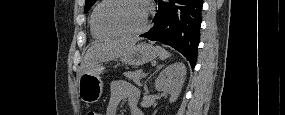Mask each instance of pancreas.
Returning a JSON list of instances; mask_svg holds the SVG:
<instances>
[{
    "instance_id": "1",
    "label": "pancreas",
    "mask_w": 285,
    "mask_h": 115,
    "mask_svg": "<svg viewBox=\"0 0 285 115\" xmlns=\"http://www.w3.org/2000/svg\"><path fill=\"white\" fill-rule=\"evenodd\" d=\"M141 74H142L141 70L124 72V76L128 80H133V82H135L139 86L142 85V83H141Z\"/></svg>"
}]
</instances>
